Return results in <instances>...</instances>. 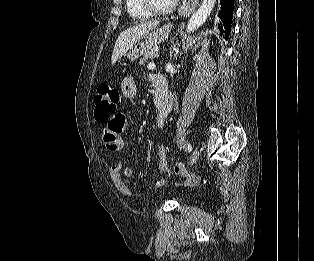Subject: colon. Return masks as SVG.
<instances>
[{"label":"colon","instance_id":"5ec220e1","mask_svg":"<svg viewBox=\"0 0 314 261\" xmlns=\"http://www.w3.org/2000/svg\"><path fill=\"white\" fill-rule=\"evenodd\" d=\"M119 102L120 95L115 88L106 84L101 85L95 94V119L104 124V120H108L112 113H119L117 111ZM172 169L176 175H185L187 173L186 167L180 163L174 164Z\"/></svg>","mask_w":314,"mask_h":261}]
</instances>
